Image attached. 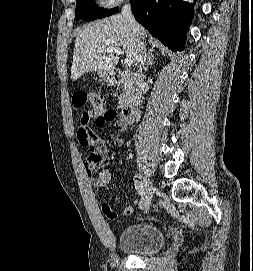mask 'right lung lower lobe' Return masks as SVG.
<instances>
[{
  "label": "right lung lower lobe",
  "instance_id": "right-lung-lower-lobe-1",
  "mask_svg": "<svg viewBox=\"0 0 253 271\" xmlns=\"http://www.w3.org/2000/svg\"><path fill=\"white\" fill-rule=\"evenodd\" d=\"M135 19L172 51H182L192 18L183 0H131Z\"/></svg>",
  "mask_w": 253,
  "mask_h": 271
}]
</instances>
